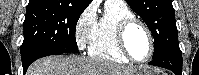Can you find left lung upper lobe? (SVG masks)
<instances>
[{
  "mask_svg": "<svg viewBox=\"0 0 199 75\" xmlns=\"http://www.w3.org/2000/svg\"><path fill=\"white\" fill-rule=\"evenodd\" d=\"M143 19L154 38L152 59L179 48L178 31L172 0H126Z\"/></svg>",
  "mask_w": 199,
  "mask_h": 75,
  "instance_id": "left-lung-upper-lobe-1",
  "label": "left lung upper lobe"
}]
</instances>
